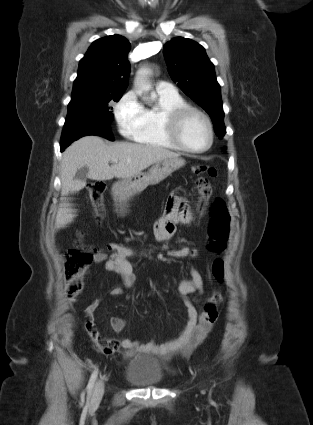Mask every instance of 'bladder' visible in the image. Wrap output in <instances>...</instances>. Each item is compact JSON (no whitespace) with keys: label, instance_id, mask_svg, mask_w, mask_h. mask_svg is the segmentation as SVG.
I'll list each match as a JSON object with an SVG mask.
<instances>
[{"label":"bladder","instance_id":"1","mask_svg":"<svg viewBox=\"0 0 313 425\" xmlns=\"http://www.w3.org/2000/svg\"><path fill=\"white\" fill-rule=\"evenodd\" d=\"M124 378L136 387L156 386L163 381L161 366L150 356H136L127 361Z\"/></svg>","mask_w":313,"mask_h":425}]
</instances>
